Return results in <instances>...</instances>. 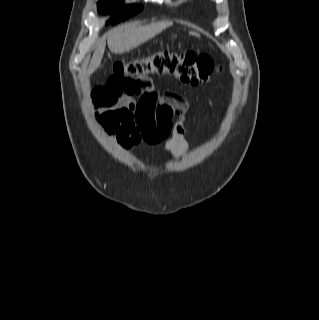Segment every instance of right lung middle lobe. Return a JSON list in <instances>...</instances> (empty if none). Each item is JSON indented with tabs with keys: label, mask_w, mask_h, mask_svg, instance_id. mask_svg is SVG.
I'll use <instances>...</instances> for the list:
<instances>
[{
	"label": "right lung middle lobe",
	"mask_w": 319,
	"mask_h": 320,
	"mask_svg": "<svg viewBox=\"0 0 319 320\" xmlns=\"http://www.w3.org/2000/svg\"><path fill=\"white\" fill-rule=\"evenodd\" d=\"M142 6L128 5L123 7V0H100L98 2V11L102 14L113 13L111 20L108 23L116 24L121 20L127 19L139 11Z\"/></svg>",
	"instance_id": "dd1d6c3e"
}]
</instances>
